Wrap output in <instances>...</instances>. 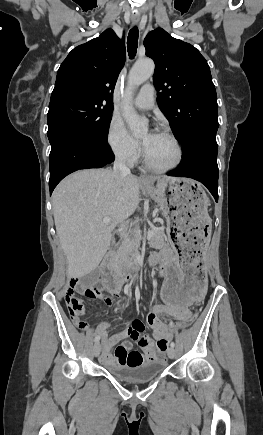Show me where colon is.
I'll use <instances>...</instances> for the list:
<instances>
[{
    "label": "colon",
    "mask_w": 263,
    "mask_h": 435,
    "mask_svg": "<svg viewBox=\"0 0 263 435\" xmlns=\"http://www.w3.org/2000/svg\"><path fill=\"white\" fill-rule=\"evenodd\" d=\"M77 292H82L89 299H101V293L99 287L95 285H85L79 280H71L67 286V291L65 294V302L70 316L73 322L80 329H85L86 324L80 319V316L84 312V307L82 301L76 296ZM199 310V305H197L196 313L187 322L185 321H168L167 325L170 329H189V326L194 321L197 311ZM156 343V341H155Z\"/></svg>",
    "instance_id": "obj_1"
}]
</instances>
